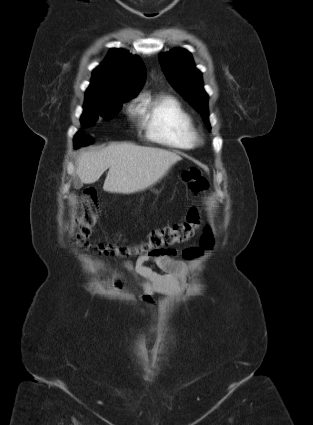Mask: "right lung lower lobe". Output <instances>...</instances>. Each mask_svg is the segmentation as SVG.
<instances>
[{"instance_id": "obj_1", "label": "right lung lower lobe", "mask_w": 313, "mask_h": 425, "mask_svg": "<svg viewBox=\"0 0 313 425\" xmlns=\"http://www.w3.org/2000/svg\"><path fill=\"white\" fill-rule=\"evenodd\" d=\"M80 136H82L88 143H91V141L82 133H79Z\"/></svg>"}]
</instances>
